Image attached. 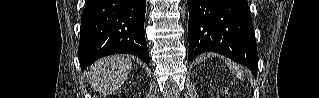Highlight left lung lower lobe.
Returning a JSON list of instances; mask_svg holds the SVG:
<instances>
[{"instance_id": "obj_1", "label": "left lung lower lobe", "mask_w": 319, "mask_h": 98, "mask_svg": "<svg viewBox=\"0 0 319 98\" xmlns=\"http://www.w3.org/2000/svg\"><path fill=\"white\" fill-rule=\"evenodd\" d=\"M188 7L189 60L213 51L256 77L258 53L247 0H188Z\"/></svg>"}]
</instances>
